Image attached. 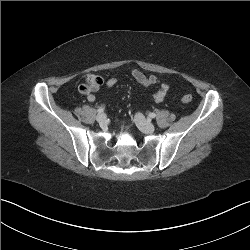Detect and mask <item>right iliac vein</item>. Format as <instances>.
I'll use <instances>...</instances> for the list:
<instances>
[{
	"label": "right iliac vein",
	"mask_w": 250,
	"mask_h": 250,
	"mask_svg": "<svg viewBox=\"0 0 250 250\" xmlns=\"http://www.w3.org/2000/svg\"><path fill=\"white\" fill-rule=\"evenodd\" d=\"M96 120L98 123L100 124H103L106 120V115L101 113V114H98L97 117H96Z\"/></svg>",
	"instance_id": "right-iliac-vein-1"
}]
</instances>
